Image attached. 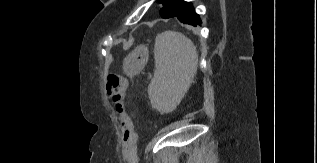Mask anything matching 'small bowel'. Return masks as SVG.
<instances>
[{
    "mask_svg": "<svg viewBox=\"0 0 317 163\" xmlns=\"http://www.w3.org/2000/svg\"><path fill=\"white\" fill-rule=\"evenodd\" d=\"M116 111L121 128L125 134L124 143L126 148V157L131 161L136 144V134L132 128V120L121 105H117Z\"/></svg>",
    "mask_w": 317,
    "mask_h": 163,
    "instance_id": "1",
    "label": "small bowel"
}]
</instances>
